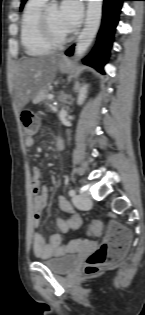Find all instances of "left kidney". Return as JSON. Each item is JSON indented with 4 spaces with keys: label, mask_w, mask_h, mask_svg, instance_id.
I'll return each instance as SVG.
<instances>
[{
    "label": "left kidney",
    "mask_w": 145,
    "mask_h": 315,
    "mask_svg": "<svg viewBox=\"0 0 145 315\" xmlns=\"http://www.w3.org/2000/svg\"><path fill=\"white\" fill-rule=\"evenodd\" d=\"M87 86L84 85L79 89L78 104H82L86 98Z\"/></svg>",
    "instance_id": "obj_1"
}]
</instances>
